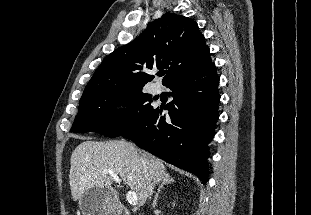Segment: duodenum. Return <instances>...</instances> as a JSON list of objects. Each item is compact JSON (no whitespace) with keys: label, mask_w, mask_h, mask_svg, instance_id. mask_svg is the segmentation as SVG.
I'll return each instance as SVG.
<instances>
[{"label":"duodenum","mask_w":311,"mask_h":215,"mask_svg":"<svg viewBox=\"0 0 311 215\" xmlns=\"http://www.w3.org/2000/svg\"><path fill=\"white\" fill-rule=\"evenodd\" d=\"M116 214L117 215H130L129 211L125 207L117 208Z\"/></svg>","instance_id":"duodenum-1"}]
</instances>
